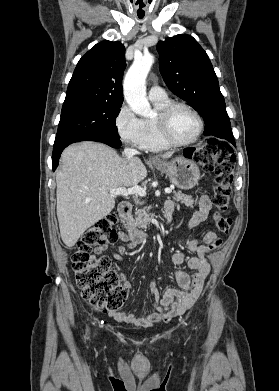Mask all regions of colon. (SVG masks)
<instances>
[{"label": "colon", "instance_id": "1", "mask_svg": "<svg viewBox=\"0 0 279 391\" xmlns=\"http://www.w3.org/2000/svg\"><path fill=\"white\" fill-rule=\"evenodd\" d=\"M192 159L206 172L216 174V185L213 192V204L216 209L215 223L218 231L227 234L232 219L222 216L229 206L231 182L234 168L232 148L215 139L205 141L191 151ZM117 215L110 213L89 227L76 244L72 255V269L83 298L92 306L105 311H115L126 299V290L119 277L111 268L107 256H96L95 247L117 241L119 232L116 228ZM221 245V239L215 238L208 244V250Z\"/></svg>", "mask_w": 279, "mask_h": 391}]
</instances>
